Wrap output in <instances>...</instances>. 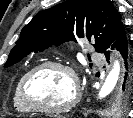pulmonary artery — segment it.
<instances>
[{"instance_id": "e3ab8cb5", "label": "pulmonary artery", "mask_w": 133, "mask_h": 118, "mask_svg": "<svg viewBox=\"0 0 133 118\" xmlns=\"http://www.w3.org/2000/svg\"><path fill=\"white\" fill-rule=\"evenodd\" d=\"M92 57H93V59H94L95 61H97V62H100V60H101V56H100L99 54H97V53H94V54L92 55Z\"/></svg>"}]
</instances>
